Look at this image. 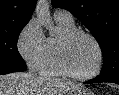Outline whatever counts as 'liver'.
Listing matches in <instances>:
<instances>
[{
	"label": "liver",
	"instance_id": "obj_1",
	"mask_svg": "<svg viewBox=\"0 0 119 95\" xmlns=\"http://www.w3.org/2000/svg\"><path fill=\"white\" fill-rule=\"evenodd\" d=\"M77 87L74 83L25 72L0 75V95H66Z\"/></svg>",
	"mask_w": 119,
	"mask_h": 95
}]
</instances>
